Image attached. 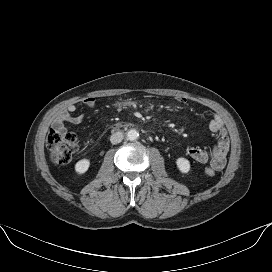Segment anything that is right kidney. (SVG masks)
I'll use <instances>...</instances> for the list:
<instances>
[{
	"label": "right kidney",
	"mask_w": 272,
	"mask_h": 272,
	"mask_svg": "<svg viewBox=\"0 0 272 272\" xmlns=\"http://www.w3.org/2000/svg\"><path fill=\"white\" fill-rule=\"evenodd\" d=\"M90 167L88 159H82L75 164V171L78 174H84Z\"/></svg>",
	"instance_id": "ca27d5eb"
}]
</instances>
